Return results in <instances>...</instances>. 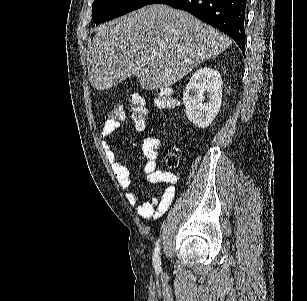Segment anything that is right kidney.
Instances as JSON below:
<instances>
[{
	"label": "right kidney",
	"instance_id": "right-kidney-1",
	"mask_svg": "<svg viewBox=\"0 0 307 301\" xmlns=\"http://www.w3.org/2000/svg\"><path fill=\"white\" fill-rule=\"evenodd\" d=\"M223 80L219 70L202 66L195 70L183 90V102L188 120L198 128L213 122L222 102ZM210 98L207 102L205 94Z\"/></svg>",
	"mask_w": 307,
	"mask_h": 301
}]
</instances>
